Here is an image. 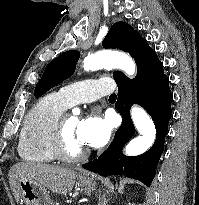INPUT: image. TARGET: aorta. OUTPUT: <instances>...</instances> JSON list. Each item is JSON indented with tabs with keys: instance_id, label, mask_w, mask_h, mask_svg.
Returning <instances> with one entry per match:
<instances>
[{
	"instance_id": "aorta-1",
	"label": "aorta",
	"mask_w": 199,
	"mask_h": 205,
	"mask_svg": "<svg viewBox=\"0 0 199 205\" xmlns=\"http://www.w3.org/2000/svg\"><path fill=\"white\" fill-rule=\"evenodd\" d=\"M85 70L95 71L102 68H117L132 77L136 73V65L126 53L119 51L103 50L88 55L83 61ZM133 123L140 136L131 140L125 147V154L137 156L146 152L154 143L156 129L153 121L144 109L133 106L131 109Z\"/></svg>"
}]
</instances>
